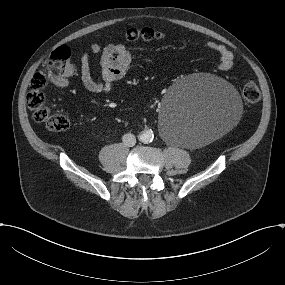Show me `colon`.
Returning a JSON list of instances; mask_svg holds the SVG:
<instances>
[{
	"label": "colon",
	"instance_id": "5ec220e1",
	"mask_svg": "<svg viewBox=\"0 0 285 285\" xmlns=\"http://www.w3.org/2000/svg\"><path fill=\"white\" fill-rule=\"evenodd\" d=\"M126 39L131 42L151 41L161 39L164 34L161 31L149 27L128 29ZM76 73V67L71 60V51L68 47L61 46L55 49L42 70L34 74L30 82V91L27 95L28 106L33 110L36 121L45 123L52 131H64L68 129L70 122L65 113L53 111L46 104L43 89L50 81L60 85ZM243 99L247 105H254L259 102L261 92L257 84L248 82L242 91Z\"/></svg>",
	"mask_w": 285,
	"mask_h": 285
}]
</instances>
